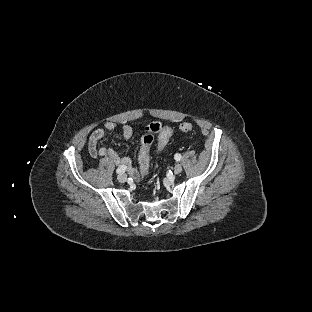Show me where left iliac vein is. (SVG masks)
I'll list each match as a JSON object with an SVG mask.
<instances>
[{
  "label": "left iliac vein",
  "instance_id": "obj_1",
  "mask_svg": "<svg viewBox=\"0 0 312 312\" xmlns=\"http://www.w3.org/2000/svg\"><path fill=\"white\" fill-rule=\"evenodd\" d=\"M181 172H182L181 164H176L174 167V173L177 175V174H180Z\"/></svg>",
  "mask_w": 312,
  "mask_h": 312
}]
</instances>
